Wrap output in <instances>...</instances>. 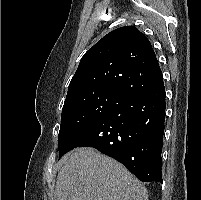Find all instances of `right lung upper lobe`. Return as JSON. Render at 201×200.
Returning <instances> with one entry per match:
<instances>
[{
	"label": "right lung upper lobe",
	"instance_id": "right-lung-upper-lobe-1",
	"mask_svg": "<svg viewBox=\"0 0 201 200\" xmlns=\"http://www.w3.org/2000/svg\"><path fill=\"white\" fill-rule=\"evenodd\" d=\"M163 80L147 37L134 26L115 29L81 58L67 96L94 90L119 92L128 97Z\"/></svg>",
	"mask_w": 201,
	"mask_h": 200
}]
</instances>
